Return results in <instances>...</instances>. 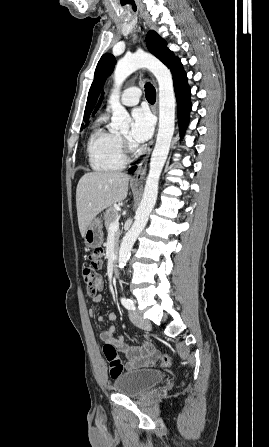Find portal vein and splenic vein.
<instances>
[{"instance_id": "1", "label": "portal vein and splenic vein", "mask_w": 269, "mask_h": 447, "mask_svg": "<svg viewBox=\"0 0 269 447\" xmlns=\"http://www.w3.org/2000/svg\"><path fill=\"white\" fill-rule=\"evenodd\" d=\"M117 229H119V222L115 220V222L109 225V231H117Z\"/></svg>"}]
</instances>
